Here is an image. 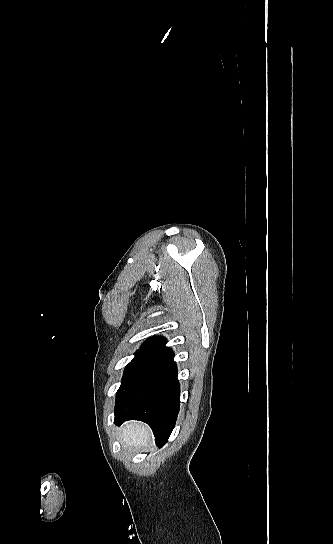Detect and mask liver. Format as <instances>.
Masks as SVG:
<instances>
[{"instance_id":"1","label":"liver","mask_w":333,"mask_h":544,"mask_svg":"<svg viewBox=\"0 0 333 544\" xmlns=\"http://www.w3.org/2000/svg\"><path fill=\"white\" fill-rule=\"evenodd\" d=\"M121 430V442L126 446L146 447L152 438L150 429L145 424L137 421L126 422Z\"/></svg>"}]
</instances>
